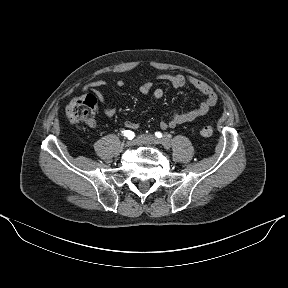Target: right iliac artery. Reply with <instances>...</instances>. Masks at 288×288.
<instances>
[{"instance_id":"1","label":"right iliac artery","mask_w":288,"mask_h":288,"mask_svg":"<svg viewBox=\"0 0 288 288\" xmlns=\"http://www.w3.org/2000/svg\"><path fill=\"white\" fill-rule=\"evenodd\" d=\"M122 134L128 138L129 135L134 134V132L126 130V131H122Z\"/></svg>"}]
</instances>
